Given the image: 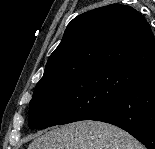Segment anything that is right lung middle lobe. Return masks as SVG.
I'll list each match as a JSON object with an SVG mask.
<instances>
[{
  "label": "right lung middle lobe",
  "mask_w": 155,
  "mask_h": 149,
  "mask_svg": "<svg viewBox=\"0 0 155 149\" xmlns=\"http://www.w3.org/2000/svg\"><path fill=\"white\" fill-rule=\"evenodd\" d=\"M146 77L125 68L97 69L37 83L29 106L30 129L89 120Z\"/></svg>",
  "instance_id": "1"
}]
</instances>
